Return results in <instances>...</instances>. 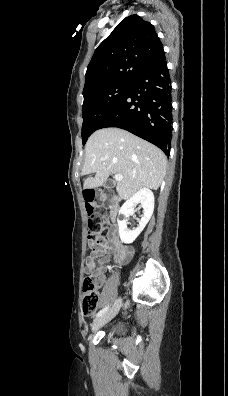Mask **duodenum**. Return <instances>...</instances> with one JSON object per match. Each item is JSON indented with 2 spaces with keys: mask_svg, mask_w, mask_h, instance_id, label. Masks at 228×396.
<instances>
[{
  "mask_svg": "<svg viewBox=\"0 0 228 396\" xmlns=\"http://www.w3.org/2000/svg\"><path fill=\"white\" fill-rule=\"evenodd\" d=\"M118 211H119V202L116 201L111 207V216L113 219L117 217Z\"/></svg>",
  "mask_w": 228,
  "mask_h": 396,
  "instance_id": "duodenum-1",
  "label": "duodenum"
}]
</instances>
